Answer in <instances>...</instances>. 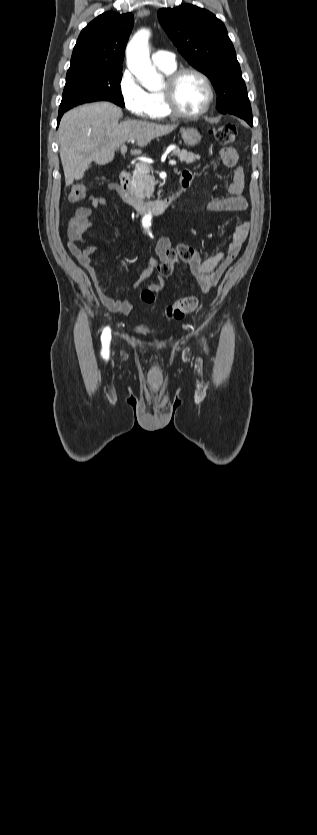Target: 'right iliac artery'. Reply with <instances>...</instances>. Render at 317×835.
<instances>
[{
    "label": "right iliac artery",
    "mask_w": 317,
    "mask_h": 835,
    "mask_svg": "<svg viewBox=\"0 0 317 835\" xmlns=\"http://www.w3.org/2000/svg\"><path fill=\"white\" fill-rule=\"evenodd\" d=\"M111 340V333L110 328L106 327L102 333L101 341H102V356L107 358L109 355V343Z\"/></svg>",
    "instance_id": "right-iliac-artery-1"
}]
</instances>
